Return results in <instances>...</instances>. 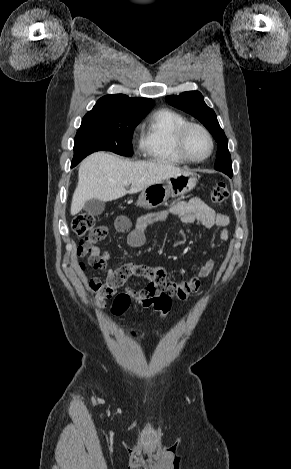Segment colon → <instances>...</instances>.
I'll return each instance as SVG.
<instances>
[{
	"label": "colon",
	"mask_w": 291,
	"mask_h": 469,
	"mask_svg": "<svg viewBox=\"0 0 291 469\" xmlns=\"http://www.w3.org/2000/svg\"><path fill=\"white\" fill-rule=\"evenodd\" d=\"M228 197L227 185L223 182L218 183L212 190L210 200L213 203H222ZM72 231L79 237H82L78 248L79 254H86L94 244L107 235L106 227L95 226V217L90 213H81L72 221ZM89 264L95 269H102L104 263L97 257L90 256ZM103 287L102 283H92L90 288L98 291ZM154 288H150L149 296H136L134 299L127 296L125 290H120L114 294L112 302L113 311L117 313H127L129 308H141L145 311H158L162 318L166 317L171 308V299L168 293H156Z\"/></svg>",
	"instance_id": "colon-1"
}]
</instances>
